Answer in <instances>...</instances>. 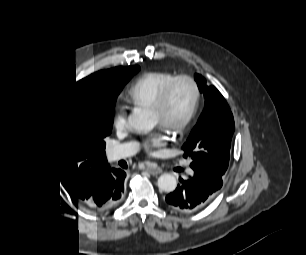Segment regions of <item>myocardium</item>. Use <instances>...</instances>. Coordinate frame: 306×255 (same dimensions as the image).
Returning <instances> with one entry per match:
<instances>
[{
    "label": "myocardium",
    "instance_id": "f54148a6",
    "mask_svg": "<svg viewBox=\"0 0 306 255\" xmlns=\"http://www.w3.org/2000/svg\"><path fill=\"white\" fill-rule=\"evenodd\" d=\"M182 82L189 83L193 88L194 94H193L191 107L187 115L178 124L170 126V127H166L174 134H181L183 131H185L190 126V124L194 121V119L196 118L198 114L200 103H201V97H202V90H201V87L198 81L190 75H186V74L179 75L175 77L157 95V97L154 99L153 103L151 104L152 111L162 112L165 109L176 86Z\"/></svg>",
    "mask_w": 306,
    "mask_h": 255
}]
</instances>
